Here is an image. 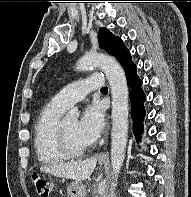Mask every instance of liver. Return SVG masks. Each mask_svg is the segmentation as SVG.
<instances>
[{"instance_id":"1","label":"liver","mask_w":191,"mask_h":197,"mask_svg":"<svg viewBox=\"0 0 191 197\" xmlns=\"http://www.w3.org/2000/svg\"><path fill=\"white\" fill-rule=\"evenodd\" d=\"M96 163L97 157L93 156L80 161L44 165L40 167V170L57 177H63L75 181H83L91 176L95 169Z\"/></svg>"}]
</instances>
